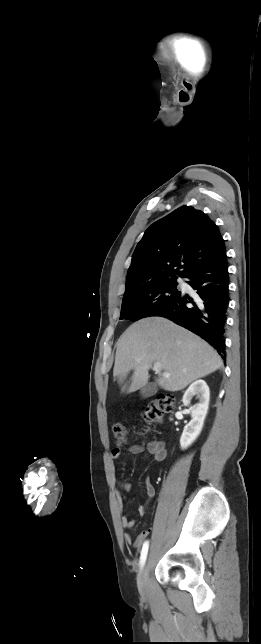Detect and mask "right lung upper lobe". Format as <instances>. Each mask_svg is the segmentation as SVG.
<instances>
[{
	"label": "right lung upper lobe",
	"mask_w": 261,
	"mask_h": 644,
	"mask_svg": "<svg viewBox=\"0 0 261 644\" xmlns=\"http://www.w3.org/2000/svg\"><path fill=\"white\" fill-rule=\"evenodd\" d=\"M225 256V244L218 226L202 211L182 206L146 230L133 253L126 289L183 277L189 271L214 264Z\"/></svg>",
	"instance_id": "right-lung-upper-lobe-1"
}]
</instances>
